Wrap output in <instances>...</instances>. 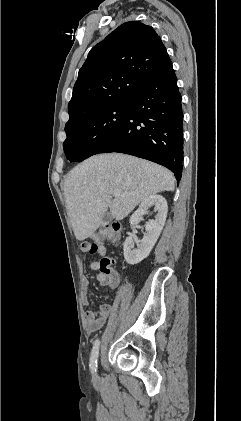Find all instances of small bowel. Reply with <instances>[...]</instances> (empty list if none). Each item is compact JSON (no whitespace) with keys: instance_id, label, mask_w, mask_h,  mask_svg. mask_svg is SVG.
Here are the masks:
<instances>
[{"instance_id":"small-bowel-1","label":"small bowel","mask_w":241,"mask_h":421,"mask_svg":"<svg viewBox=\"0 0 241 421\" xmlns=\"http://www.w3.org/2000/svg\"><path fill=\"white\" fill-rule=\"evenodd\" d=\"M96 253L101 255L103 258L108 257L106 248L102 245L98 246ZM90 268L92 270H100V262L97 260L91 261ZM97 279L102 285H107L111 289H115L119 284V275L114 270H113V277L111 278L107 277L100 271V273L97 275ZM89 286H90L89 278L84 277L81 282L80 296H81L82 303L86 306L89 305V299H88ZM112 310H113L112 304H101L98 310H91V309L87 310L85 312V319H86L88 329L92 332L101 329L106 319L111 314Z\"/></svg>"}]
</instances>
